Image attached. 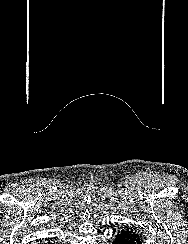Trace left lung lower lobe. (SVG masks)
Instances as JSON below:
<instances>
[{"label":"left lung lower lobe","instance_id":"left-lung-lower-lobe-1","mask_svg":"<svg viewBox=\"0 0 188 244\" xmlns=\"http://www.w3.org/2000/svg\"><path fill=\"white\" fill-rule=\"evenodd\" d=\"M112 244H143L136 230L126 227L119 231Z\"/></svg>","mask_w":188,"mask_h":244}]
</instances>
